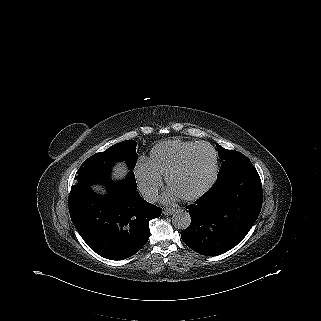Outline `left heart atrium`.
Returning a JSON list of instances; mask_svg holds the SVG:
<instances>
[{
  "instance_id": "39dd6f15",
  "label": "left heart atrium",
  "mask_w": 321,
  "mask_h": 321,
  "mask_svg": "<svg viewBox=\"0 0 321 321\" xmlns=\"http://www.w3.org/2000/svg\"><path fill=\"white\" fill-rule=\"evenodd\" d=\"M178 197H180L179 194H177L175 191H173L171 188H170V191H168L165 195V199L166 200H175L177 199Z\"/></svg>"
}]
</instances>
